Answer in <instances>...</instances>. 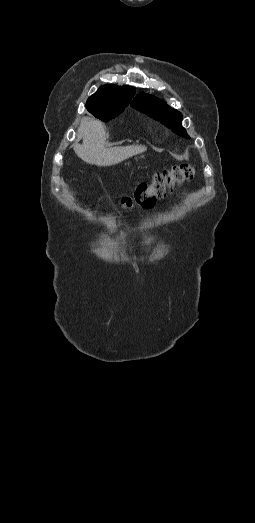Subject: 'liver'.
Listing matches in <instances>:
<instances>
[{"instance_id": "obj_1", "label": "liver", "mask_w": 255, "mask_h": 523, "mask_svg": "<svg viewBox=\"0 0 255 523\" xmlns=\"http://www.w3.org/2000/svg\"><path fill=\"white\" fill-rule=\"evenodd\" d=\"M83 138V144H78ZM107 134L102 122L93 118H83L77 132L74 152L78 158L94 166H114L120 164L131 156L145 152L142 146H116L105 148Z\"/></svg>"}]
</instances>
